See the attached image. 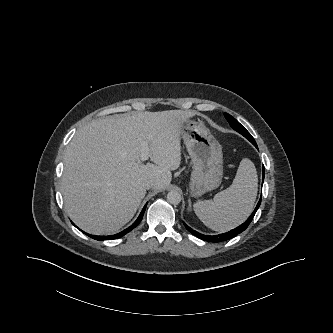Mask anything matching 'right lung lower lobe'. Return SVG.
<instances>
[{
	"label": "right lung lower lobe",
	"instance_id": "right-lung-lower-lobe-1",
	"mask_svg": "<svg viewBox=\"0 0 333 333\" xmlns=\"http://www.w3.org/2000/svg\"><path fill=\"white\" fill-rule=\"evenodd\" d=\"M147 205V204H146ZM146 205L144 206V208L142 209L139 217L137 218V220L130 226L128 227L127 229L121 231L120 233H117V234H114V235H109V236H97V235H91V234H87L85 232L86 235H88L89 237L95 239V240H98V241H102L104 239H117V238H120L124 235H126L127 233H129L131 230H133L136 226L139 225V223L141 222L142 218H143V215H144V212H145V209H146Z\"/></svg>",
	"mask_w": 333,
	"mask_h": 333
}]
</instances>
